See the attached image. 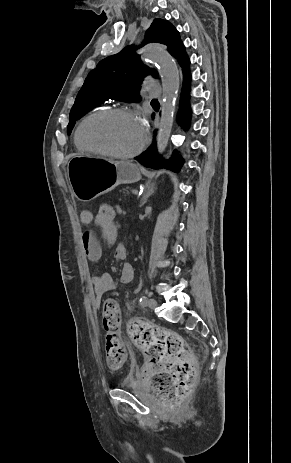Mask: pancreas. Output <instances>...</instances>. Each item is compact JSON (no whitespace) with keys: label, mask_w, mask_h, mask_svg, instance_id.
Here are the masks:
<instances>
[{"label":"pancreas","mask_w":291,"mask_h":463,"mask_svg":"<svg viewBox=\"0 0 291 463\" xmlns=\"http://www.w3.org/2000/svg\"><path fill=\"white\" fill-rule=\"evenodd\" d=\"M133 191V189L131 187H123L120 192L124 195V196H129L131 194V192Z\"/></svg>","instance_id":"1"}]
</instances>
